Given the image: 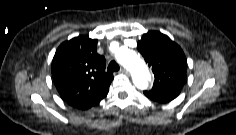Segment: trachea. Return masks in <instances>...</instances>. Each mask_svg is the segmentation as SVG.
I'll return each instance as SVG.
<instances>
[{"mask_svg": "<svg viewBox=\"0 0 236 135\" xmlns=\"http://www.w3.org/2000/svg\"><path fill=\"white\" fill-rule=\"evenodd\" d=\"M110 72H115L119 70V65L115 61H111L107 68Z\"/></svg>", "mask_w": 236, "mask_h": 135, "instance_id": "obj_1", "label": "trachea"}]
</instances>
